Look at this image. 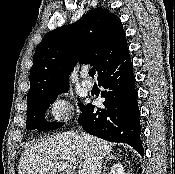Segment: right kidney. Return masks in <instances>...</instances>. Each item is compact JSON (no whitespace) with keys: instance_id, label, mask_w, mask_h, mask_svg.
Segmentation results:
<instances>
[{"instance_id":"ca27d5eb","label":"right kidney","mask_w":175,"mask_h":174,"mask_svg":"<svg viewBox=\"0 0 175 174\" xmlns=\"http://www.w3.org/2000/svg\"><path fill=\"white\" fill-rule=\"evenodd\" d=\"M109 174H126L121 163H117L111 167Z\"/></svg>"}]
</instances>
